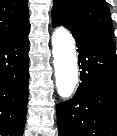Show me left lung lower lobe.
Segmentation results:
<instances>
[{
  "instance_id": "1",
  "label": "left lung lower lobe",
  "mask_w": 117,
  "mask_h": 136,
  "mask_svg": "<svg viewBox=\"0 0 117 136\" xmlns=\"http://www.w3.org/2000/svg\"><path fill=\"white\" fill-rule=\"evenodd\" d=\"M52 24L62 25L54 20ZM70 31L78 47L81 83L71 100L57 106L59 136H117L115 43Z\"/></svg>"
}]
</instances>
